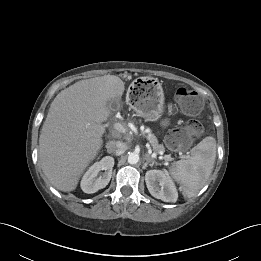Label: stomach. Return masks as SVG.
Masks as SVG:
<instances>
[{"label":"stomach","mask_w":261,"mask_h":261,"mask_svg":"<svg viewBox=\"0 0 261 261\" xmlns=\"http://www.w3.org/2000/svg\"><path fill=\"white\" fill-rule=\"evenodd\" d=\"M132 87H136L137 90L128 96L130 105L147 121H157L164 112L165 100L159 80L142 78L133 82Z\"/></svg>","instance_id":"0dacf381"}]
</instances>
